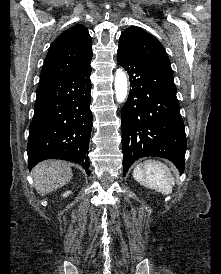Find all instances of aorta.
I'll return each mask as SVG.
<instances>
[{
    "mask_svg": "<svg viewBox=\"0 0 221 274\" xmlns=\"http://www.w3.org/2000/svg\"><path fill=\"white\" fill-rule=\"evenodd\" d=\"M115 96L119 103L125 101L128 92L127 76L122 69H117L115 74Z\"/></svg>",
    "mask_w": 221,
    "mask_h": 274,
    "instance_id": "aorta-1",
    "label": "aorta"
}]
</instances>
